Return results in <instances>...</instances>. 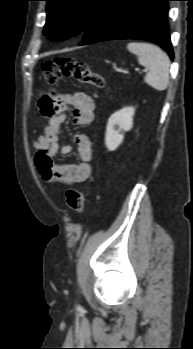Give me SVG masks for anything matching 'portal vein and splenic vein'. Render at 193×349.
I'll return each mask as SVG.
<instances>
[{
	"instance_id": "1",
	"label": "portal vein and splenic vein",
	"mask_w": 193,
	"mask_h": 349,
	"mask_svg": "<svg viewBox=\"0 0 193 349\" xmlns=\"http://www.w3.org/2000/svg\"><path fill=\"white\" fill-rule=\"evenodd\" d=\"M135 70H136V71H138L139 69H138V68H136ZM143 71H144V72H146L147 70H146V69H144Z\"/></svg>"
}]
</instances>
